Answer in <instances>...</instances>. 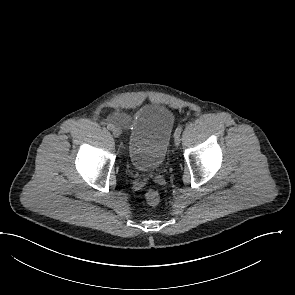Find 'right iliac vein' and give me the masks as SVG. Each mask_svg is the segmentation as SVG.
Returning <instances> with one entry per match:
<instances>
[{
  "label": "right iliac vein",
  "mask_w": 295,
  "mask_h": 295,
  "mask_svg": "<svg viewBox=\"0 0 295 295\" xmlns=\"http://www.w3.org/2000/svg\"><path fill=\"white\" fill-rule=\"evenodd\" d=\"M112 134H113L114 137L118 138V137L121 136L122 131H121V129L119 127H115L112 130Z\"/></svg>",
  "instance_id": "obj_1"
}]
</instances>
